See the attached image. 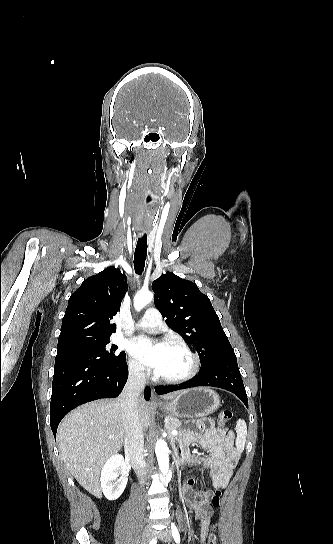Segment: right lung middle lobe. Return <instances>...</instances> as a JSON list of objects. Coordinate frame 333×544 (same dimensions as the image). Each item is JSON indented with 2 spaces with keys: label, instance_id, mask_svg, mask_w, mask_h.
I'll return each mask as SVG.
<instances>
[{
  "label": "right lung middle lobe",
  "instance_id": "right-lung-middle-lobe-1",
  "mask_svg": "<svg viewBox=\"0 0 333 544\" xmlns=\"http://www.w3.org/2000/svg\"><path fill=\"white\" fill-rule=\"evenodd\" d=\"M109 338L85 342L57 349V355H77L105 366H117L125 359V353L115 354L116 345L109 347Z\"/></svg>",
  "mask_w": 333,
  "mask_h": 544
}]
</instances>
